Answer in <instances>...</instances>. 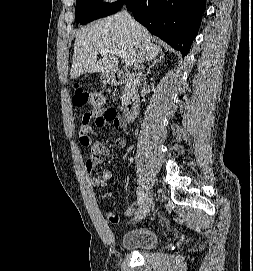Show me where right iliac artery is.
I'll use <instances>...</instances> for the list:
<instances>
[{
  "instance_id": "1",
  "label": "right iliac artery",
  "mask_w": 253,
  "mask_h": 271,
  "mask_svg": "<svg viewBox=\"0 0 253 271\" xmlns=\"http://www.w3.org/2000/svg\"><path fill=\"white\" fill-rule=\"evenodd\" d=\"M137 195H138V203L141 204L144 200V192L141 187H138Z\"/></svg>"
}]
</instances>
